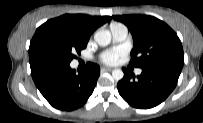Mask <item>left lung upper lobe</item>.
<instances>
[{
	"label": "left lung upper lobe",
	"mask_w": 203,
	"mask_h": 123,
	"mask_svg": "<svg viewBox=\"0 0 203 123\" xmlns=\"http://www.w3.org/2000/svg\"><path fill=\"white\" fill-rule=\"evenodd\" d=\"M113 19L124 23L132 34L131 65L182 69L184 53L181 41L166 23L148 15H117Z\"/></svg>",
	"instance_id": "1"
}]
</instances>
